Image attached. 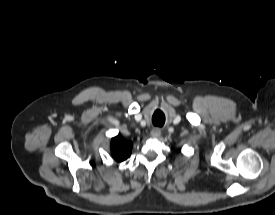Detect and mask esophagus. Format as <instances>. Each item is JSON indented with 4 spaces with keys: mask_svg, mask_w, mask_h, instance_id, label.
Masks as SVG:
<instances>
[{
    "mask_svg": "<svg viewBox=\"0 0 275 215\" xmlns=\"http://www.w3.org/2000/svg\"><path fill=\"white\" fill-rule=\"evenodd\" d=\"M151 137L158 138L161 135V130L159 128H153L150 132Z\"/></svg>",
    "mask_w": 275,
    "mask_h": 215,
    "instance_id": "1",
    "label": "esophagus"
}]
</instances>
